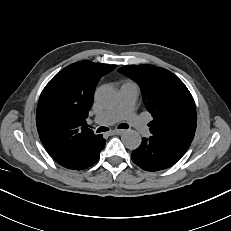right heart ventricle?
Listing matches in <instances>:
<instances>
[{
  "label": "right heart ventricle",
  "mask_w": 231,
  "mask_h": 231,
  "mask_svg": "<svg viewBox=\"0 0 231 231\" xmlns=\"http://www.w3.org/2000/svg\"><path fill=\"white\" fill-rule=\"evenodd\" d=\"M125 84H134V83H132V82H126Z\"/></svg>",
  "instance_id": "e07e8e85"
}]
</instances>
